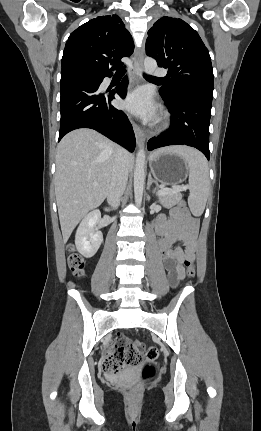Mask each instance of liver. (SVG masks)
<instances>
[{
    "mask_svg": "<svg viewBox=\"0 0 261 431\" xmlns=\"http://www.w3.org/2000/svg\"><path fill=\"white\" fill-rule=\"evenodd\" d=\"M119 148L97 131L86 128L68 133L58 144L55 194L64 243L80 220L107 197ZM133 163V155L127 152L128 170ZM95 182L97 186L93 185Z\"/></svg>",
    "mask_w": 261,
    "mask_h": 431,
    "instance_id": "obj_1",
    "label": "liver"
}]
</instances>
